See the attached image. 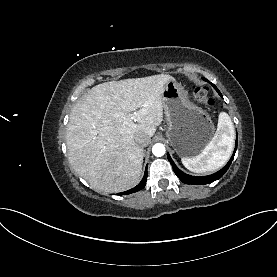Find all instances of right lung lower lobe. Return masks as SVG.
Wrapping results in <instances>:
<instances>
[{
  "mask_svg": "<svg viewBox=\"0 0 277 277\" xmlns=\"http://www.w3.org/2000/svg\"><path fill=\"white\" fill-rule=\"evenodd\" d=\"M146 178H147V168L145 170V174H144V177L143 179L141 180V182L134 188L128 190V191H125V192H121V193H118V195H128V194H131V193H134V192H137V191H140L141 189H143L146 185Z\"/></svg>",
  "mask_w": 277,
  "mask_h": 277,
  "instance_id": "98d812e1",
  "label": "right lung lower lobe"
}]
</instances>
